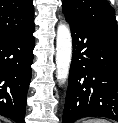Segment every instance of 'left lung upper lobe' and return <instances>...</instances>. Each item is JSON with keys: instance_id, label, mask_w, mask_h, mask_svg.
Segmentation results:
<instances>
[{"instance_id": "5c2ea615", "label": "left lung upper lobe", "mask_w": 118, "mask_h": 123, "mask_svg": "<svg viewBox=\"0 0 118 123\" xmlns=\"http://www.w3.org/2000/svg\"><path fill=\"white\" fill-rule=\"evenodd\" d=\"M62 7L67 22L118 35L115 12L107 0H63Z\"/></svg>"}]
</instances>
